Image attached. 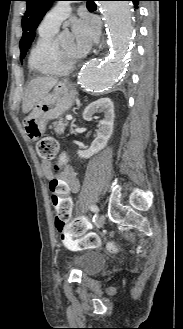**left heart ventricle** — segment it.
Wrapping results in <instances>:
<instances>
[{"mask_svg": "<svg viewBox=\"0 0 183 329\" xmlns=\"http://www.w3.org/2000/svg\"><path fill=\"white\" fill-rule=\"evenodd\" d=\"M60 50L64 53L67 60L71 61L78 58L81 53L77 51L75 43L73 41H69L64 45L60 46Z\"/></svg>", "mask_w": 183, "mask_h": 329, "instance_id": "1", "label": "left heart ventricle"}]
</instances>
